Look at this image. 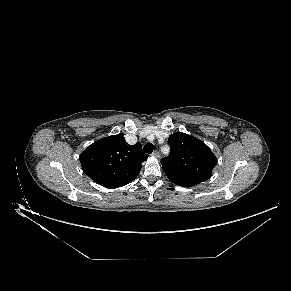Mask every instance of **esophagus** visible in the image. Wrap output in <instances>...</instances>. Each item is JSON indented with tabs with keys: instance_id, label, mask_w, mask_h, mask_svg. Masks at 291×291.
Returning a JSON list of instances; mask_svg holds the SVG:
<instances>
[{
	"instance_id": "1",
	"label": "esophagus",
	"mask_w": 291,
	"mask_h": 291,
	"mask_svg": "<svg viewBox=\"0 0 291 291\" xmlns=\"http://www.w3.org/2000/svg\"><path fill=\"white\" fill-rule=\"evenodd\" d=\"M152 156L156 157V158H159L160 157V153L159 151L155 150L153 153H152Z\"/></svg>"
}]
</instances>
